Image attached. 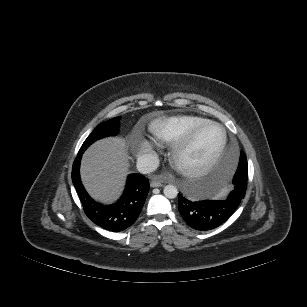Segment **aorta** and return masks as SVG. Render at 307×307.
Wrapping results in <instances>:
<instances>
[{
	"instance_id": "aorta-1",
	"label": "aorta",
	"mask_w": 307,
	"mask_h": 307,
	"mask_svg": "<svg viewBox=\"0 0 307 307\" xmlns=\"http://www.w3.org/2000/svg\"><path fill=\"white\" fill-rule=\"evenodd\" d=\"M164 195L168 199H174L178 195V190H177V188L174 185H171V184L166 185L164 187Z\"/></svg>"
}]
</instances>
